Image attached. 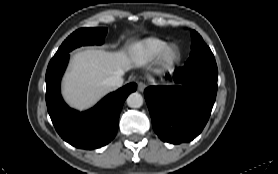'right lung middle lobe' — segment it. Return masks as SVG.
<instances>
[{"label":"right lung middle lobe","mask_w":278,"mask_h":174,"mask_svg":"<svg viewBox=\"0 0 278 174\" xmlns=\"http://www.w3.org/2000/svg\"><path fill=\"white\" fill-rule=\"evenodd\" d=\"M106 28H81L73 32L60 46L52 59L72 51L82 45L103 44Z\"/></svg>","instance_id":"1"}]
</instances>
